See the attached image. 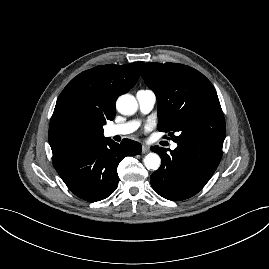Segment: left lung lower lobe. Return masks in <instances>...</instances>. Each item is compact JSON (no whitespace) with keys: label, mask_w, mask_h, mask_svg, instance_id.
<instances>
[{"label":"left lung lower lobe","mask_w":269,"mask_h":269,"mask_svg":"<svg viewBox=\"0 0 269 269\" xmlns=\"http://www.w3.org/2000/svg\"><path fill=\"white\" fill-rule=\"evenodd\" d=\"M177 148L151 147L162 159L160 168L150 178L152 188L160 196L175 201L197 194L209 181L222 157V141H176Z\"/></svg>","instance_id":"obj_1"}]
</instances>
